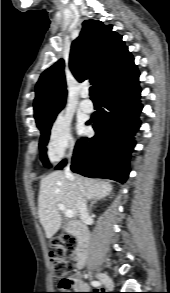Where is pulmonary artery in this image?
<instances>
[{
    "instance_id": "1",
    "label": "pulmonary artery",
    "mask_w": 170,
    "mask_h": 293,
    "mask_svg": "<svg viewBox=\"0 0 170 293\" xmlns=\"http://www.w3.org/2000/svg\"><path fill=\"white\" fill-rule=\"evenodd\" d=\"M89 93L87 90L81 93L82 101L80 107L84 112L90 113L94 109L93 103L88 99Z\"/></svg>"
}]
</instances>
